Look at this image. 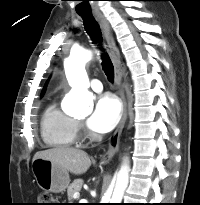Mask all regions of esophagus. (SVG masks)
<instances>
[{
	"label": "esophagus",
	"mask_w": 200,
	"mask_h": 205,
	"mask_svg": "<svg viewBox=\"0 0 200 205\" xmlns=\"http://www.w3.org/2000/svg\"><path fill=\"white\" fill-rule=\"evenodd\" d=\"M94 17L98 21L100 27L103 30L104 36H105L107 49L109 51V54L111 56V60L114 66L115 84L117 86V92L122 102L121 121L109 141L108 150L101 157V163H108L119 149L120 137H121L123 128L125 126V123L128 117V107H127V100L125 97L124 87L122 85V72L120 69L119 49L116 45V42L111 32L109 23L106 20V18L100 12H95Z\"/></svg>",
	"instance_id": "1"
}]
</instances>
